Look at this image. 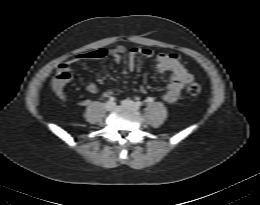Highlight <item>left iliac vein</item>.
I'll return each instance as SVG.
<instances>
[{
    "instance_id": "4c4485c4",
    "label": "left iliac vein",
    "mask_w": 260,
    "mask_h": 205,
    "mask_svg": "<svg viewBox=\"0 0 260 205\" xmlns=\"http://www.w3.org/2000/svg\"><path fill=\"white\" fill-rule=\"evenodd\" d=\"M122 103H123V105L131 106L134 109H138L137 104L135 102H133L132 100L126 99V100L122 101Z\"/></svg>"
}]
</instances>
